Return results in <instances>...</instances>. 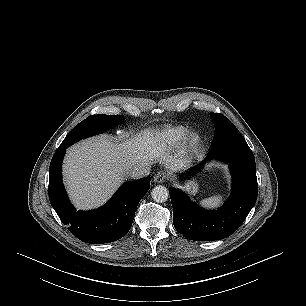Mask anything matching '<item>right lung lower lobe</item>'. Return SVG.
Segmentation results:
<instances>
[{"instance_id": "98d812e1", "label": "right lung lower lobe", "mask_w": 306, "mask_h": 306, "mask_svg": "<svg viewBox=\"0 0 306 306\" xmlns=\"http://www.w3.org/2000/svg\"><path fill=\"white\" fill-rule=\"evenodd\" d=\"M67 148L58 149L49 169V199L69 231L81 241L102 244L116 241L131 228L139 201L150 188V177L124 183L103 207L76 211L62 182L61 165Z\"/></svg>"}]
</instances>
